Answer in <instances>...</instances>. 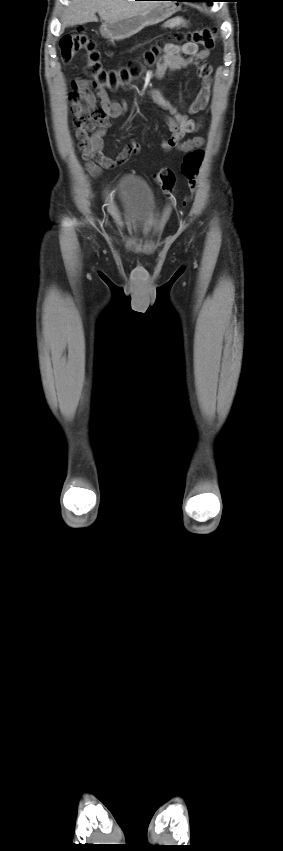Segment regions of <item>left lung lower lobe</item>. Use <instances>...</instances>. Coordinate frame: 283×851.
<instances>
[{
	"label": "left lung lower lobe",
	"instance_id": "1",
	"mask_svg": "<svg viewBox=\"0 0 283 851\" xmlns=\"http://www.w3.org/2000/svg\"><path fill=\"white\" fill-rule=\"evenodd\" d=\"M176 1H200V0H176ZM208 3L211 4L212 1H209Z\"/></svg>",
	"mask_w": 283,
	"mask_h": 851
}]
</instances>
